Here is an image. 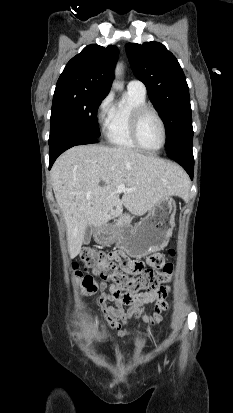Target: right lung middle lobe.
I'll return each instance as SVG.
<instances>
[{"label":"right lung middle lobe","instance_id":"right-lung-middle-lobe-1","mask_svg":"<svg viewBox=\"0 0 233 413\" xmlns=\"http://www.w3.org/2000/svg\"><path fill=\"white\" fill-rule=\"evenodd\" d=\"M106 95L77 88H56L49 141L62 134L98 138L97 109Z\"/></svg>","mask_w":233,"mask_h":413}]
</instances>
